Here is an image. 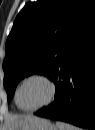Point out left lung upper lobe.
<instances>
[{"label":"left lung upper lobe","instance_id":"5c2ea615","mask_svg":"<svg viewBox=\"0 0 95 130\" xmlns=\"http://www.w3.org/2000/svg\"><path fill=\"white\" fill-rule=\"evenodd\" d=\"M95 13V0H38L27 3L6 41L3 62L8 101L18 82L33 73L52 79L81 22Z\"/></svg>","mask_w":95,"mask_h":130}]
</instances>
